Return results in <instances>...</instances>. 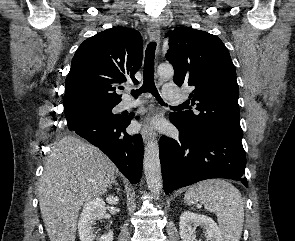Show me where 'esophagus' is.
<instances>
[{"mask_svg":"<svg viewBox=\"0 0 295 241\" xmlns=\"http://www.w3.org/2000/svg\"><path fill=\"white\" fill-rule=\"evenodd\" d=\"M147 32L151 40L157 42V51H158V46L160 42V28L159 25L155 22H149L147 26ZM152 133V128L149 125V114L144 120L143 128L141 130V135L143 138V141L146 143L148 139L150 138Z\"/></svg>","mask_w":295,"mask_h":241,"instance_id":"esophagus-1","label":"esophagus"}]
</instances>
